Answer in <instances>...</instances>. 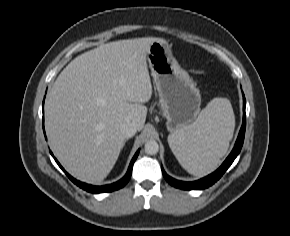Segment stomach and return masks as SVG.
Listing matches in <instances>:
<instances>
[{
  "label": "stomach",
  "instance_id": "0dacf381",
  "mask_svg": "<svg viewBox=\"0 0 290 236\" xmlns=\"http://www.w3.org/2000/svg\"><path fill=\"white\" fill-rule=\"evenodd\" d=\"M147 61L168 131L176 133L191 125L199 114L201 95L187 71L173 57L168 42L160 38L154 41Z\"/></svg>",
  "mask_w": 290,
  "mask_h": 236
}]
</instances>
